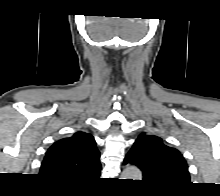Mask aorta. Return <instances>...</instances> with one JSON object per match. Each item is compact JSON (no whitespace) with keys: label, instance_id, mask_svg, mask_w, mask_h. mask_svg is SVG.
I'll list each match as a JSON object with an SVG mask.
<instances>
[{"label":"aorta","instance_id":"obj_1","mask_svg":"<svg viewBox=\"0 0 220 196\" xmlns=\"http://www.w3.org/2000/svg\"><path fill=\"white\" fill-rule=\"evenodd\" d=\"M121 177V179L142 180V173L137 167L128 166L122 172Z\"/></svg>","mask_w":220,"mask_h":196}]
</instances>
